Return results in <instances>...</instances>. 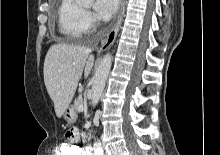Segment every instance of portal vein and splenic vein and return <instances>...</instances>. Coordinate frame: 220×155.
<instances>
[{"label": "portal vein and splenic vein", "instance_id": "1", "mask_svg": "<svg viewBox=\"0 0 220 155\" xmlns=\"http://www.w3.org/2000/svg\"><path fill=\"white\" fill-rule=\"evenodd\" d=\"M83 109H84V106H83V105H80V106H79V110H80V111H83Z\"/></svg>", "mask_w": 220, "mask_h": 155}]
</instances>
